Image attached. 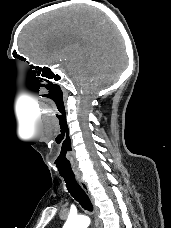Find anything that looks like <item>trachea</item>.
Returning a JSON list of instances; mask_svg holds the SVG:
<instances>
[{"mask_svg":"<svg viewBox=\"0 0 171 228\" xmlns=\"http://www.w3.org/2000/svg\"><path fill=\"white\" fill-rule=\"evenodd\" d=\"M66 182V187L72 197L79 202V204L87 211L92 212L93 207L91 201L81 186L76 181L75 177L72 175L65 176L62 175Z\"/></svg>","mask_w":171,"mask_h":228,"instance_id":"trachea-1","label":"trachea"}]
</instances>
